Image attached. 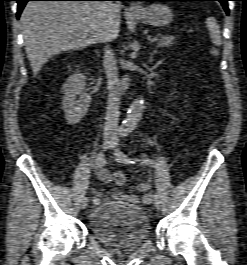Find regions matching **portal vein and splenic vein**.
<instances>
[{"mask_svg":"<svg viewBox=\"0 0 247 265\" xmlns=\"http://www.w3.org/2000/svg\"><path fill=\"white\" fill-rule=\"evenodd\" d=\"M158 40V38H153V39H149V42L150 43H154V42H156Z\"/></svg>","mask_w":247,"mask_h":265,"instance_id":"obj_1","label":"portal vein and splenic vein"}]
</instances>
